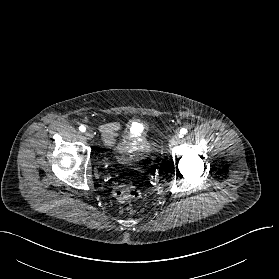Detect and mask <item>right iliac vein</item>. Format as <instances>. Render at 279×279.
<instances>
[{"label":"right iliac vein","instance_id":"obj_1","mask_svg":"<svg viewBox=\"0 0 279 279\" xmlns=\"http://www.w3.org/2000/svg\"><path fill=\"white\" fill-rule=\"evenodd\" d=\"M85 136L87 139L91 140L93 139L94 137V134H93V131L91 129H88L86 132H85Z\"/></svg>","mask_w":279,"mask_h":279}]
</instances>
